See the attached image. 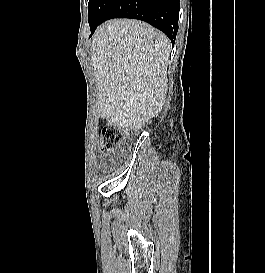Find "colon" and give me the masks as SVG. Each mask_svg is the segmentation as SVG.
Returning <instances> with one entry per match:
<instances>
[{
    "label": "colon",
    "mask_w": 265,
    "mask_h": 273,
    "mask_svg": "<svg viewBox=\"0 0 265 273\" xmlns=\"http://www.w3.org/2000/svg\"><path fill=\"white\" fill-rule=\"evenodd\" d=\"M103 150L109 154H119L124 139L123 130L114 124H106L101 131Z\"/></svg>",
    "instance_id": "5ec220e1"
}]
</instances>
